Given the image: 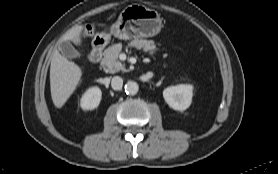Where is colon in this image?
Returning <instances> with one entry per match:
<instances>
[{
    "label": "colon",
    "instance_id": "colon-1",
    "mask_svg": "<svg viewBox=\"0 0 278 174\" xmlns=\"http://www.w3.org/2000/svg\"><path fill=\"white\" fill-rule=\"evenodd\" d=\"M91 32V28H88L87 30H86V34H89Z\"/></svg>",
    "mask_w": 278,
    "mask_h": 174
}]
</instances>
